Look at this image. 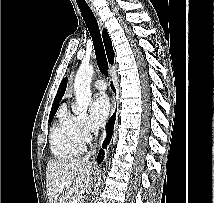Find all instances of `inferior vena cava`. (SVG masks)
I'll list each match as a JSON object with an SVG mask.
<instances>
[{
    "label": "inferior vena cava",
    "mask_w": 214,
    "mask_h": 203,
    "mask_svg": "<svg viewBox=\"0 0 214 203\" xmlns=\"http://www.w3.org/2000/svg\"><path fill=\"white\" fill-rule=\"evenodd\" d=\"M92 132L94 133L95 137L98 135V129H97V128H93V129H92ZM95 153H96L95 150H92V152H89V153L86 155L85 159L88 160V158H89L91 155L95 154Z\"/></svg>",
    "instance_id": "1"
}]
</instances>
